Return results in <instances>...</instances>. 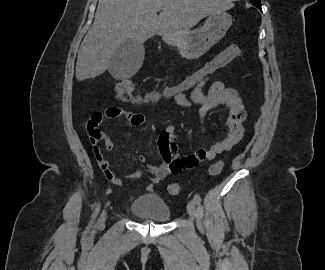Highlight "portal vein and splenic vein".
<instances>
[{
    "instance_id": "1",
    "label": "portal vein and splenic vein",
    "mask_w": 325,
    "mask_h": 270,
    "mask_svg": "<svg viewBox=\"0 0 325 270\" xmlns=\"http://www.w3.org/2000/svg\"><path fill=\"white\" fill-rule=\"evenodd\" d=\"M157 10H158V11H161V10H162V8H158Z\"/></svg>"
}]
</instances>
